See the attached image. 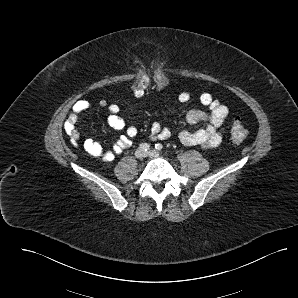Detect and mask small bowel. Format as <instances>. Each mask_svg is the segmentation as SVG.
Returning a JSON list of instances; mask_svg holds the SVG:
<instances>
[{"label":"small bowel","instance_id":"small-bowel-1","mask_svg":"<svg viewBox=\"0 0 298 298\" xmlns=\"http://www.w3.org/2000/svg\"><path fill=\"white\" fill-rule=\"evenodd\" d=\"M178 100L182 103L188 102L190 100L189 93L181 92L178 95ZM199 100L201 104L209 108V112L196 109L190 110L186 114V121L190 124L201 123L203 127L193 132L183 130L179 132L178 138L182 144L188 146H200L202 148L218 147L223 140L225 131L223 125L229 114V108L207 92L202 93ZM101 105L108 107L107 122L109 126L115 130H125V134L117 139L110 150H105L98 141L92 138L84 140L83 148L88 154L111 162L132 145V138L137 135L138 131L136 127L126 125L125 120L119 115L120 109L117 105H107L106 101H101ZM90 107L91 103L88 100L82 99L77 101L72 107L68 120L77 123L79 115ZM170 136L171 132L168 128L162 127L158 122L152 123L150 127L151 139L166 140ZM73 137L79 139L78 131L73 134Z\"/></svg>","mask_w":298,"mask_h":298}]
</instances>
